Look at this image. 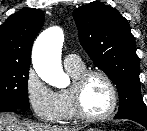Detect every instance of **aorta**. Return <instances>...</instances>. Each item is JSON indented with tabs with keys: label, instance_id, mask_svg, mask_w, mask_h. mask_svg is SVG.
Masks as SVG:
<instances>
[{
	"label": "aorta",
	"instance_id": "762f6f07",
	"mask_svg": "<svg viewBox=\"0 0 147 131\" xmlns=\"http://www.w3.org/2000/svg\"><path fill=\"white\" fill-rule=\"evenodd\" d=\"M64 36L59 27H51L36 39L32 50V63L38 76L47 84L64 88L69 77L61 65V50Z\"/></svg>",
	"mask_w": 147,
	"mask_h": 131
}]
</instances>
